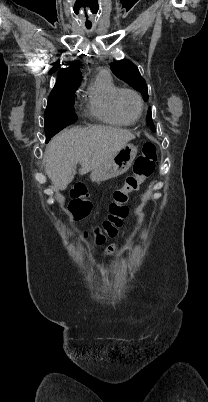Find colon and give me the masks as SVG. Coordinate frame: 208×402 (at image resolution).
Returning a JSON list of instances; mask_svg holds the SVG:
<instances>
[{
	"label": "colon",
	"instance_id": "1",
	"mask_svg": "<svg viewBox=\"0 0 208 402\" xmlns=\"http://www.w3.org/2000/svg\"><path fill=\"white\" fill-rule=\"evenodd\" d=\"M156 145L152 141H147L142 147V153L136 158L133 163V173L128 175L124 184L116 188L112 193V202L109 205V216L101 223L95 224L91 229H86L82 233V239L94 241L99 245L104 244L107 238H112L117 235V230L123 225L125 218L128 215L127 202L130 195L138 190L141 182L149 178L155 167ZM87 188L85 184L78 183L70 192L72 198L86 196ZM76 214L72 210V205H69V213L73 216L74 221L79 222L82 219L81 214H90V205H78L75 208Z\"/></svg>",
	"mask_w": 208,
	"mask_h": 402
}]
</instances>
